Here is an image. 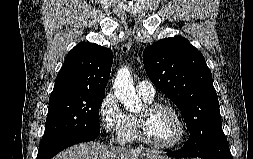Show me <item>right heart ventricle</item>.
<instances>
[{
  "mask_svg": "<svg viewBox=\"0 0 253 159\" xmlns=\"http://www.w3.org/2000/svg\"><path fill=\"white\" fill-rule=\"evenodd\" d=\"M143 98V97H142ZM146 102H151L149 99L143 98ZM138 139L137 136V127H136V116L135 115H128V128H127V142L134 143Z\"/></svg>",
  "mask_w": 253,
  "mask_h": 159,
  "instance_id": "1",
  "label": "right heart ventricle"
}]
</instances>
